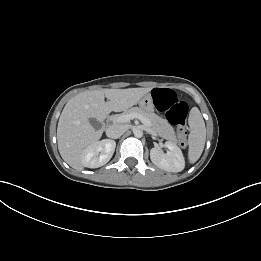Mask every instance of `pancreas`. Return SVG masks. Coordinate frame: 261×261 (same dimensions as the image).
Masks as SVG:
<instances>
[{
  "mask_svg": "<svg viewBox=\"0 0 261 261\" xmlns=\"http://www.w3.org/2000/svg\"><path fill=\"white\" fill-rule=\"evenodd\" d=\"M137 113L145 117L151 122L150 128L160 137L169 140L170 142H177L175 131L173 127L167 122V120L162 117L156 115L153 112H147L138 107H133L128 110H125L122 114H132ZM120 115H114L112 117V121L117 122V118Z\"/></svg>",
  "mask_w": 261,
  "mask_h": 261,
  "instance_id": "cf45deb5",
  "label": "pancreas"
}]
</instances>
